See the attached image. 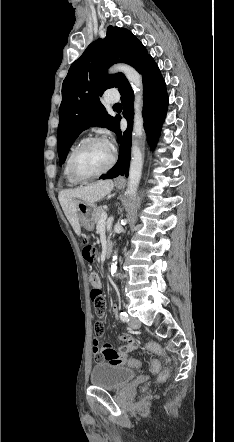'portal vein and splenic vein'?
<instances>
[{"label": "portal vein and splenic vein", "mask_w": 234, "mask_h": 442, "mask_svg": "<svg viewBox=\"0 0 234 442\" xmlns=\"http://www.w3.org/2000/svg\"><path fill=\"white\" fill-rule=\"evenodd\" d=\"M106 219H107V213L104 212V213H102V215H101L100 223H105Z\"/></svg>", "instance_id": "1"}]
</instances>
